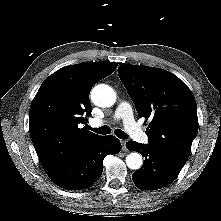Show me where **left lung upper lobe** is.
I'll use <instances>...</instances> for the list:
<instances>
[{
	"label": "left lung upper lobe",
	"instance_id": "5c2ea615",
	"mask_svg": "<svg viewBox=\"0 0 221 221\" xmlns=\"http://www.w3.org/2000/svg\"><path fill=\"white\" fill-rule=\"evenodd\" d=\"M118 75L140 117L150 120L149 145L185 164L198 132L196 101L174 74L159 68L121 65Z\"/></svg>",
	"mask_w": 221,
	"mask_h": 221
}]
</instances>
